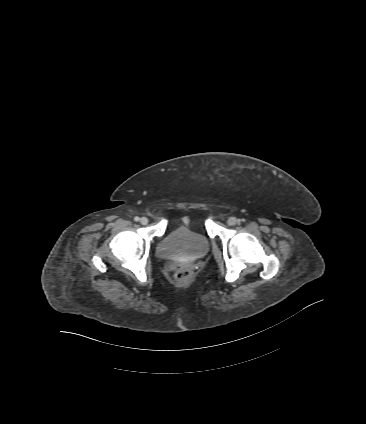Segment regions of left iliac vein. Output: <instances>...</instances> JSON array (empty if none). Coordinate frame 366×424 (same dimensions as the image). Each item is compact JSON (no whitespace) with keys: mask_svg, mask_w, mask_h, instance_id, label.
Returning <instances> with one entry per match:
<instances>
[{"mask_svg":"<svg viewBox=\"0 0 366 424\" xmlns=\"http://www.w3.org/2000/svg\"><path fill=\"white\" fill-rule=\"evenodd\" d=\"M227 224H228L229 226H234V225H236V224H237V219H236L235 217H230V218L227 220Z\"/></svg>","mask_w":366,"mask_h":424,"instance_id":"obj_1","label":"left iliac vein"}]
</instances>
